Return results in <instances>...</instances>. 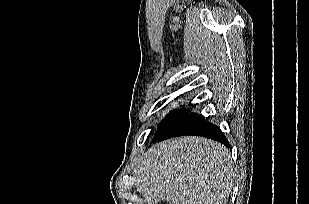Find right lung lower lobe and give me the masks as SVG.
Returning <instances> with one entry per match:
<instances>
[{"label":"right lung lower lobe","mask_w":309,"mask_h":204,"mask_svg":"<svg viewBox=\"0 0 309 204\" xmlns=\"http://www.w3.org/2000/svg\"><path fill=\"white\" fill-rule=\"evenodd\" d=\"M196 135L216 140L226 147H230L228 140L219 127L203 120L197 113H188L177 123L171 126L163 135L154 140L160 142L176 136Z\"/></svg>","instance_id":"98d812e1"}]
</instances>
